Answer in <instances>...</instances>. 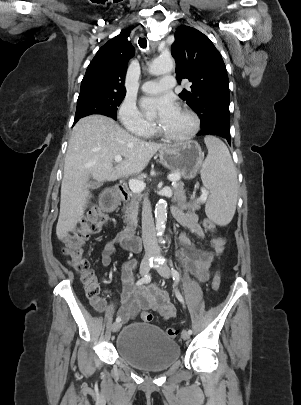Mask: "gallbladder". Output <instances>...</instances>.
Masks as SVG:
<instances>
[{
	"label": "gallbladder",
	"instance_id": "1",
	"mask_svg": "<svg viewBox=\"0 0 301 405\" xmlns=\"http://www.w3.org/2000/svg\"><path fill=\"white\" fill-rule=\"evenodd\" d=\"M100 186H101V182H94V183L91 184L90 188L91 189H96V188H98Z\"/></svg>",
	"mask_w": 301,
	"mask_h": 405
}]
</instances>
